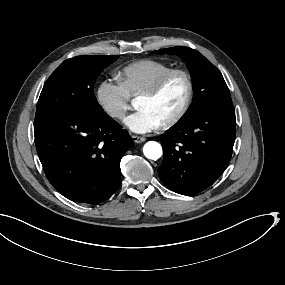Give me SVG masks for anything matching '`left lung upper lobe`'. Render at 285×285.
I'll use <instances>...</instances> for the list:
<instances>
[{
	"label": "left lung upper lobe",
	"mask_w": 285,
	"mask_h": 285,
	"mask_svg": "<svg viewBox=\"0 0 285 285\" xmlns=\"http://www.w3.org/2000/svg\"><path fill=\"white\" fill-rule=\"evenodd\" d=\"M153 53L179 55L191 72L195 96L182 118L194 116L208 107H233L229 89L221 72L198 51L178 46Z\"/></svg>",
	"instance_id": "5c2ea615"
}]
</instances>
